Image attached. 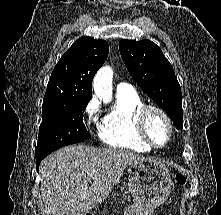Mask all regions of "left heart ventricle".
<instances>
[{"label":"left heart ventricle","instance_id":"left-heart-ventricle-1","mask_svg":"<svg viewBox=\"0 0 221 215\" xmlns=\"http://www.w3.org/2000/svg\"><path fill=\"white\" fill-rule=\"evenodd\" d=\"M147 129L150 137L157 145H164L169 136L168 126L165 120L157 113L149 116Z\"/></svg>","mask_w":221,"mask_h":215}]
</instances>
